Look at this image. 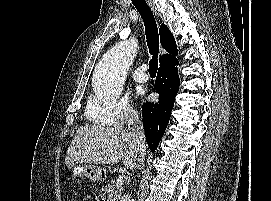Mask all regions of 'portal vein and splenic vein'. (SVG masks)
I'll use <instances>...</instances> for the list:
<instances>
[{
	"instance_id": "obj_1",
	"label": "portal vein and splenic vein",
	"mask_w": 271,
	"mask_h": 201,
	"mask_svg": "<svg viewBox=\"0 0 271 201\" xmlns=\"http://www.w3.org/2000/svg\"><path fill=\"white\" fill-rule=\"evenodd\" d=\"M125 179H126L125 174H119V176H118V178H117V183H118V184H123L124 181H125Z\"/></svg>"
}]
</instances>
